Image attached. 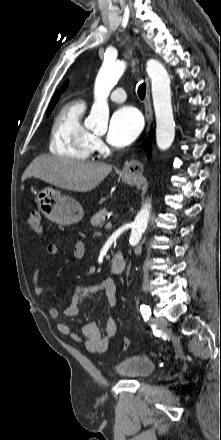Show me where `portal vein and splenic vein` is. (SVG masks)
I'll return each mask as SVG.
<instances>
[{"instance_id":"portal-vein-and-splenic-vein-1","label":"portal vein and splenic vein","mask_w":221,"mask_h":440,"mask_svg":"<svg viewBox=\"0 0 221 440\" xmlns=\"http://www.w3.org/2000/svg\"><path fill=\"white\" fill-rule=\"evenodd\" d=\"M106 227H107V228H110V227H112V224H111L110 222H108V223L106 224Z\"/></svg>"}]
</instances>
